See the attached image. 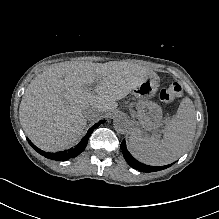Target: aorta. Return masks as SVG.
<instances>
[{"instance_id":"1","label":"aorta","mask_w":219,"mask_h":219,"mask_svg":"<svg viewBox=\"0 0 219 219\" xmlns=\"http://www.w3.org/2000/svg\"><path fill=\"white\" fill-rule=\"evenodd\" d=\"M131 125V121L124 114H118L113 119V127L116 130V132L120 134H125L129 132L131 129Z\"/></svg>"}]
</instances>
